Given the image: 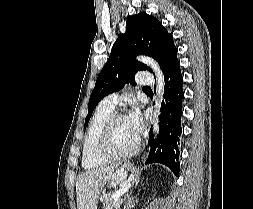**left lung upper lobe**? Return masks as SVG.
Segmentation results:
<instances>
[{
    "instance_id": "obj_1",
    "label": "left lung upper lobe",
    "mask_w": 253,
    "mask_h": 209,
    "mask_svg": "<svg viewBox=\"0 0 253 209\" xmlns=\"http://www.w3.org/2000/svg\"><path fill=\"white\" fill-rule=\"evenodd\" d=\"M142 54L154 58L163 74L178 61L172 35L158 19L144 12L127 19L125 33L119 34L114 43L90 95L85 127L103 97L122 89L126 83L135 86L134 76L138 71L152 72L150 67L136 60V56Z\"/></svg>"
}]
</instances>
